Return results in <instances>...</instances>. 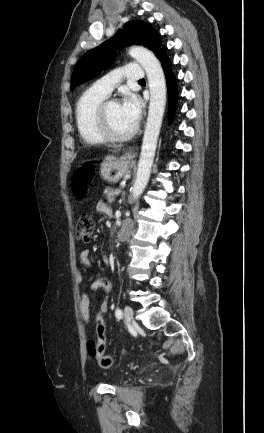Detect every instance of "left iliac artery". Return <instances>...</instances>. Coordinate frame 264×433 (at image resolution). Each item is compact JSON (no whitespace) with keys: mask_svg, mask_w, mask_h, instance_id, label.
I'll return each mask as SVG.
<instances>
[{"mask_svg":"<svg viewBox=\"0 0 264 433\" xmlns=\"http://www.w3.org/2000/svg\"><path fill=\"white\" fill-rule=\"evenodd\" d=\"M115 315L118 319H120L122 317V311L120 309H116Z\"/></svg>","mask_w":264,"mask_h":433,"instance_id":"left-iliac-artery-1","label":"left iliac artery"}]
</instances>
